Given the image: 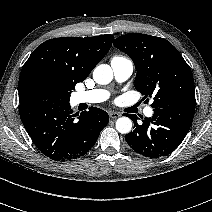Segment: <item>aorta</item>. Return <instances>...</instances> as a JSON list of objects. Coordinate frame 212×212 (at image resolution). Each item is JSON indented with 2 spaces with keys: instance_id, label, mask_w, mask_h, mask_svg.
Here are the masks:
<instances>
[{
  "instance_id": "obj_1",
  "label": "aorta",
  "mask_w": 212,
  "mask_h": 212,
  "mask_svg": "<svg viewBox=\"0 0 212 212\" xmlns=\"http://www.w3.org/2000/svg\"><path fill=\"white\" fill-rule=\"evenodd\" d=\"M93 79L96 83L106 85L113 79V71L107 64L98 65L93 71ZM116 129L122 134H127L132 129V120L128 117H120L116 121Z\"/></svg>"
}]
</instances>
